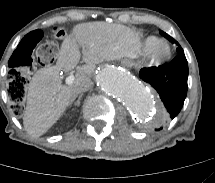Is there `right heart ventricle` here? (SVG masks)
I'll return each instance as SVG.
<instances>
[{
	"mask_svg": "<svg viewBox=\"0 0 215 183\" xmlns=\"http://www.w3.org/2000/svg\"><path fill=\"white\" fill-rule=\"evenodd\" d=\"M160 42H161V39L156 36L147 37L143 43V51L145 53H149Z\"/></svg>",
	"mask_w": 215,
	"mask_h": 183,
	"instance_id": "obj_1",
	"label": "right heart ventricle"
}]
</instances>
